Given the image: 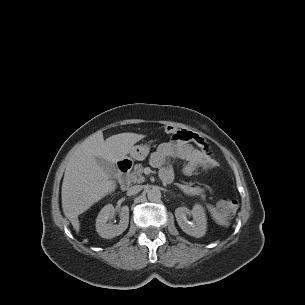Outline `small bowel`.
I'll list each match as a JSON object with an SVG mask.
<instances>
[{
    "label": "small bowel",
    "mask_w": 305,
    "mask_h": 305,
    "mask_svg": "<svg viewBox=\"0 0 305 305\" xmlns=\"http://www.w3.org/2000/svg\"><path fill=\"white\" fill-rule=\"evenodd\" d=\"M183 133L185 137H173L171 141L161 144L150 157V163L160 168V179L165 183L171 182L174 176L171 159L184 160L192 167L212 169L216 166L205 140L191 131L183 130Z\"/></svg>",
    "instance_id": "1"
}]
</instances>
